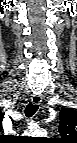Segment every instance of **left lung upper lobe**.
Listing matches in <instances>:
<instances>
[{
  "label": "left lung upper lobe",
  "mask_w": 77,
  "mask_h": 143,
  "mask_svg": "<svg viewBox=\"0 0 77 143\" xmlns=\"http://www.w3.org/2000/svg\"><path fill=\"white\" fill-rule=\"evenodd\" d=\"M59 133L62 142L69 143L77 139V111L70 108H63L60 111Z\"/></svg>",
  "instance_id": "1"
}]
</instances>
